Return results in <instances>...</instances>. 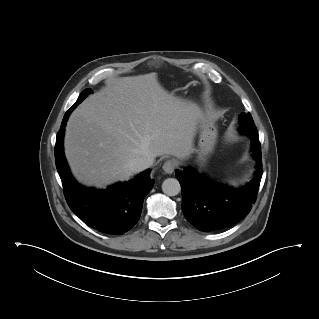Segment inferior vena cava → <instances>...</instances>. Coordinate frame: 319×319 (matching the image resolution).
<instances>
[{"instance_id":"602c4592","label":"inferior vena cava","mask_w":319,"mask_h":319,"mask_svg":"<svg viewBox=\"0 0 319 319\" xmlns=\"http://www.w3.org/2000/svg\"><path fill=\"white\" fill-rule=\"evenodd\" d=\"M153 162H154V158L139 157V158L133 159L129 163V168L132 172L138 173L152 166Z\"/></svg>"}]
</instances>
